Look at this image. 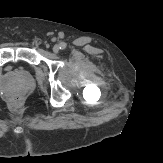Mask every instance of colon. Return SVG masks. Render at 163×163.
Segmentation results:
<instances>
[{
	"instance_id": "colon-1",
	"label": "colon",
	"mask_w": 163,
	"mask_h": 163,
	"mask_svg": "<svg viewBox=\"0 0 163 163\" xmlns=\"http://www.w3.org/2000/svg\"><path fill=\"white\" fill-rule=\"evenodd\" d=\"M12 102H13V104H17L18 103V99H13Z\"/></svg>"
}]
</instances>
